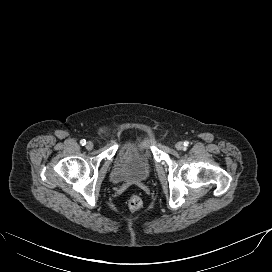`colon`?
<instances>
[{
	"mask_svg": "<svg viewBox=\"0 0 272 272\" xmlns=\"http://www.w3.org/2000/svg\"><path fill=\"white\" fill-rule=\"evenodd\" d=\"M143 206V201L142 199L137 196V195H132L129 199H128V207L129 209L136 211L141 209Z\"/></svg>",
	"mask_w": 272,
	"mask_h": 272,
	"instance_id": "obj_1",
	"label": "colon"
}]
</instances>
